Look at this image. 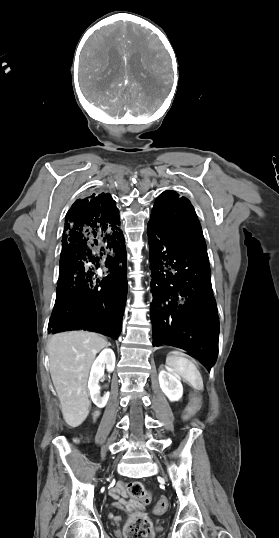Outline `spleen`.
Here are the masks:
<instances>
[{
	"instance_id": "spleen-1",
	"label": "spleen",
	"mask_w": 279,
	"mask_h": 538,
	"mask_svg": "<svg viewBox=\"0 0 279 538\" xmlns=\"http://www.w3.org/2000/svg\"><path fill=\"white\" fill-rule=\"evenodd\" d=\"M166 366L173 370L174 374H179L182 378H186L187 383L194 388V393H203V380L200 372H198L195 364L188 360L186 354L170 352V354H167Z\"/></svg>"
}]
</instances>
